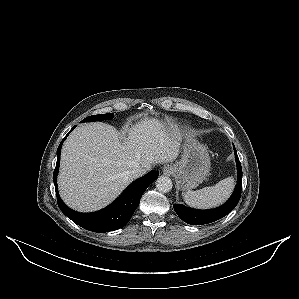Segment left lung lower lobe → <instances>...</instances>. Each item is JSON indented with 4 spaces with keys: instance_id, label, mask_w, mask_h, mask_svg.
I'll return each mask as SVG.
<instances>
[{
    "instance_id": "left-lung-lower-lobe-1",
    "label": "left lung lower lobe",
    "mask_w": 299,
    "mask_h": 299,
    "mask_svg": "<svg viewBox=\"0 0 299 299\" xmlns=\"http://www.w3.org/2000/svg\"><path fill=\"white\" fill-rule=\"evenodd\" d=\"M234 153H235V158L237 163L238 178H237L236 187L231 197L228 199V201L225 204L210 210H196V209L185 207L184 205L174 204L173 207L175 212L183 221L191 225L208 224L223 218L236 207L241 197L242 167L235 148H234Z\"/></svg>"
}]
</instances>
